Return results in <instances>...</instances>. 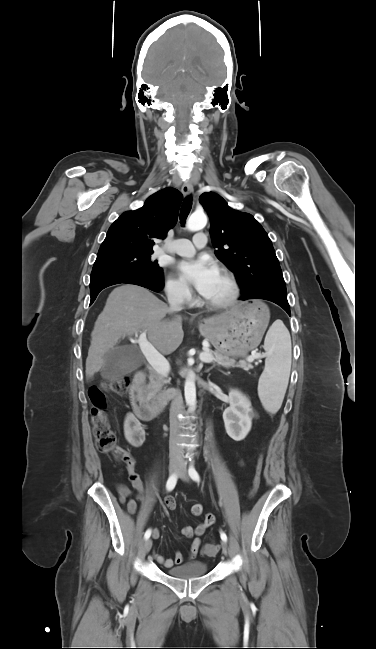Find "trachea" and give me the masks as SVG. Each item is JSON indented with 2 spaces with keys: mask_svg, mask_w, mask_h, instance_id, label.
I'll list each match as a JSON object with an SVG mask.
<instances>
[{
  "mask_svg": "<svg viewBox=\"0 0 376 649\" xmlns=\"http://www.w3.org/2000/svg\"><path fill=\"white\" fill-rule=\"evenodd\" d=\"M191 206H192V197L188 196L184 199L180 210V221L182 224L186 222V219L191 210Z\"/></svg>",
  "mask_w": 376,
  "mask_h": 649,
  "instance_id": "3493384b",
  "label": "trachea"
}]
</instances>
